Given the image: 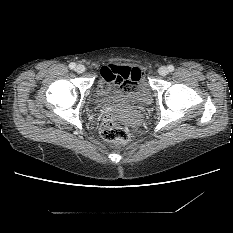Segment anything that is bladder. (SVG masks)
<instances>
[{
    "mask_svg": "<svg viewBox=\"0 0 233 233\" xmlns=\"http://www.w3.org/2000/svg\"><path fill=\"white\" fill-rule=\"evenodd\" d=\"M133 74L137 75L138 85L132 91H126L119 85L100 81L98 83L99 102L117 99H126L131 102H142L150 96V90L145 83L144 69L141 66L132 67Z\"/></svg>",
    "mask_w": 233,
    "mask_h": 233,
    "instance_id": "31cf9c89",
    "label": "bladder"
}]
</instances>
